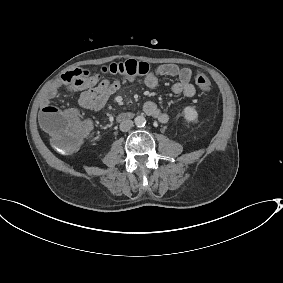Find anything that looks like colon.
<instances>
[{
	"label": "colon",
	"mask_w": 283,
	"mask_h": 283,
	"mask_svg": "<svg viewBox=\"0 0 283 283\" xmlns=\"http://www.w3.org/2000/svg\"><path fill=\"white\" fill-rule=\"evenodd\" d=\"M102 72L134 79L146 76L150 72V67L145 62L128 60L104 66ZM194 82L201 91L208 92L212 88V82L205 74H196ZM39 121L42 128L50 135L54 147L62 153L75 151L91 131L90 122L75 109L61 111L49 107L42 111Z\"/></svg>",
	"instance_id": "obj_1"
}]
</instances>
